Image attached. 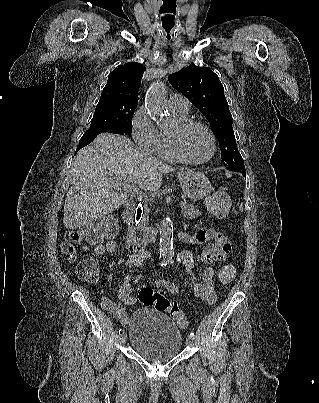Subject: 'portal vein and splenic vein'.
<instances>
[{
  "label": "portal vein and splenic vein",
  "mask_w": 319,
  "mask_h": 403,
  "mask_svg": "<svg viewBox=\"0 0 319 403\" xmlns=\"http://www.w3.org/2000/svg\"><path fill=\"white\" fill-rule=\"evenodd\" d=\"M122 186L124 187V189H125L127 192H134V193H137V192L139 191V189H138V187H137L136 185L130 186V185H128V184L123 183ZM186 204H187V203L184 202V201H181V202L179 203L180 206H184V205H186Z\"/></svg>",
  "instance_id": "obj_1"
}]
</instances>
